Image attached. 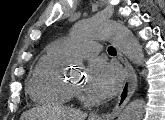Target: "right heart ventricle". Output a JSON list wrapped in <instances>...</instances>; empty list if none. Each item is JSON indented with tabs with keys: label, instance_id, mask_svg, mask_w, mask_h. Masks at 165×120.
I'll use <instances>...</instances> for the list:
<instances>
[{
	"label": "right heart ventricle",
	"instance_id": "right-heart-ventricle-1",
	"mask_svg": "<svg viewBox=\"0 0 165 120\" xmlns=\"http://www.w3.org/2000/svg\"><path fill=\"white\" fill-rule=\"evenodd\" d=\"M66 59L67 56L53 45L39 58L28 82V92L34 101L65 104L72 99L74 94L61 73Z\"/></svg>",
	"mask_w": 165,
	"mask_h": 120
}]
</instances>
